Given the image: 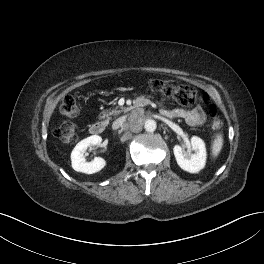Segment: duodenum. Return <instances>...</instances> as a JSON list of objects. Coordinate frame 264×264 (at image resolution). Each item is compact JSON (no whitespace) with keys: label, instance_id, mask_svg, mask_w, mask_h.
Wrapping results in <instances>:
<instances>
[{"label":"duodenum","instance_id":"duodenum-1","mask_svg":"<svg viewBox=\"0 0 264 264\" xmlns=\"http://www.w3.org/2000/svg\"><path fill=\"white\" fill-rule=\"evenodd\" d=\"M142 104H143V100H137L133 104V107L138 108V107L142 106ZM105 128H106V124L103 121H96L90 125L89 131L93 135H99L105 131Z\"/></svg>","mask_w":264,"mask_h":264}]
</instances>
